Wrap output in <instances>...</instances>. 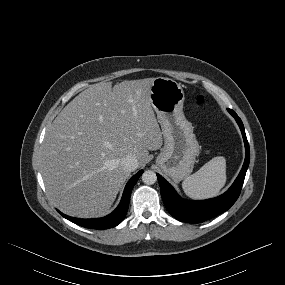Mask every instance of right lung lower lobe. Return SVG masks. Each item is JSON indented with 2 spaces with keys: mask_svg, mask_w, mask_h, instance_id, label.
Segmentation results:
<instances>
[{
  "mask_svg": "<svg viewBox=\"0 0 285 285\" xmlns=\"http://www.w3.org/2000/svg\"><path fill=\"white\" fill-rule=\"evenodd\" d=\"M142 173H143V170H140L136 175H134L130 179V181L127 183L125 187L120 204L111 214L107 215L106 217L97 218V219H78V218L67 216L58 210L57 211L64 218L85 228L108 229V228L115 227L119 223H121L122 220L125 218L127 210H128V206H129L131 191L134 185L136 184L138 178L140 177V175H142Z\"/></svg>",
  "mask_w": 285,
  "mask_h": 285,
  "instance_id": "98d812e1",
  "label": "right lung lower lobe"
}]
</instances>
